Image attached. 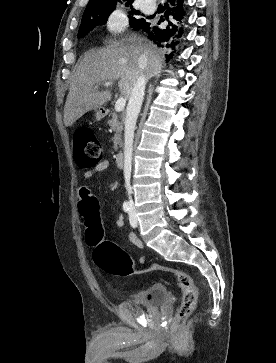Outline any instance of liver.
I'll list each match as a JSON object with an SVG mask.
<instances>
[{
    "instance_id": "obj_1",
    "label": "liver",
    "mask_w": 276,
    "mask_h": 363,
    "mask_svg": "<svg viewBox=\"0 0 276 363\" xmlns=\"http://www.w3.org/2000/svg\"><path fill=\"white\" fill-rule=\"evenodd\" d=\"M163 57L157 47L133 34L119 40L108 39L102 49L89 51L78 63L64 107V124L73 125L91 110L111 99L110 91H97V85L118 80L122 96L130 98L138 77L151 79L162 70Z\"/></svg>"
}]
</instances>
